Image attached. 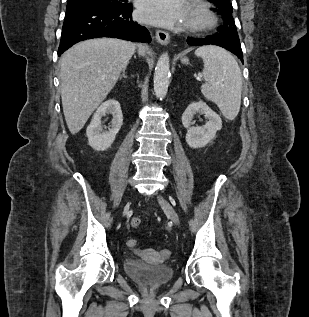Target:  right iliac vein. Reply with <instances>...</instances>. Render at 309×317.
<instances>
[{"instance_id":"right-iliac-vein-1","label":"right iliac vein","mask_w":309,"mask_h":317,"mask_svg":"<svg viewBox=\"0 0 309 317\" xmlns=\"http://www.w3.org/2000/svg\"><path fill=\"white\" fill-rule=\"evenodd\" d=\"M126 209H129V204H127Z\"/></svg>"}]
</instances>
